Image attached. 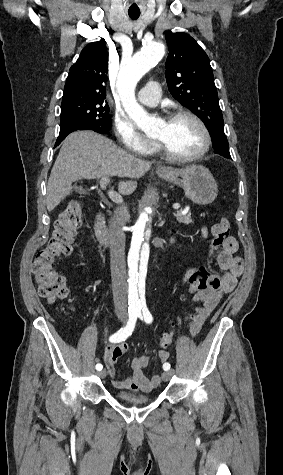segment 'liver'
I'll use <instances>...</instances> for the list:
<instances>
[{"label": "liver", "mask_w": 283, "mask_h": 475, "mask_svg": "<svg viewBox=\"0 0 283 475\" xmlns=\"http://www.w3.org/2000/svg\"><path fill=\"white\" fill-rule=\"evenodd\" d=\"M151 166L152 162L131 156L106 136L91 130L73 132L64 140L51 170L47 186V210L52 212L61 200L70 196L72 182H77L80 178H142ZM136 188L137 182L118 184L119 194H133Z\"/></svg>", "instance_id": "6515ba94"}]
</instances>
